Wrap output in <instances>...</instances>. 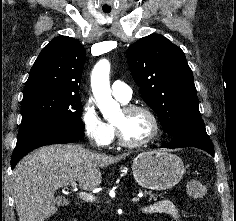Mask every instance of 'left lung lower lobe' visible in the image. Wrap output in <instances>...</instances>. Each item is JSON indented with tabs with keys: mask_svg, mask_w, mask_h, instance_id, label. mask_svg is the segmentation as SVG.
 <instances>
[{
	"mask_svg": "<svg viewBox=\"0 0 236 221\" xmlns=\"http://www.w3.org/2000/svg\"><path fill=\"white\" fill-rule=\"evenodd\" d=\"M168 148L196 147L205 150L214 156L213 144L206 133L205 127H192L183 129L172 135Z\"/></svg>",
	"mask_w": 236,
	"mask_h": 221,
	"instance_id": "obj_1",
	"label": "left lung lower lobe"
}]
</instances>
